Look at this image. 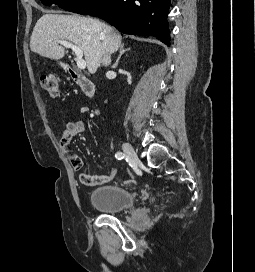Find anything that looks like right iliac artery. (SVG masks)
<instances>
[{
    "mask_svg": "<svg viewBox=\"0 0 255 272\" xmlns=\"http://www.w3.org/2000/svg\"><path fill=\"white\" fill-rule=\"evenodd\" d=\"M116 159L121 160L124 158V154L122 152H117L115 154Z\"/></svg>",
    "mask_w": 255,
    "mask_h": 272,
    "instance_id": "right-iliac-artery-1",
    "label": "right iliac artery"
}]
</instances>
